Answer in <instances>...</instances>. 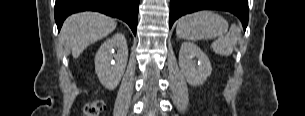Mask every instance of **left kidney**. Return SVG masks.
Returning <instances> with one entry per match:
<instances>
[{
	"label": "left kidney",
	"mask_w": 305,
	"mask_h": 116,
	"mask_svg": "<svg viewBox=\"0 0 305 116\" xmlns=\"http://www.w3.org/2000/svg\"><path fill=\"white\" fill-rule=\"evenodd\" d=\"M179 66L187 82L192 86L202 85L212 72L207 55L191 42L182 43L179 52Z\"/></svg>",
	"instance_id": "left-kidney-1"
}]
</instances>
